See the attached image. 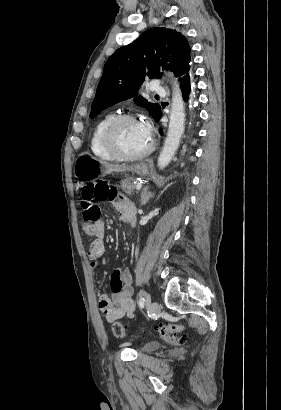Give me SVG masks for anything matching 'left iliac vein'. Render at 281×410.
Wrapping results in <instances>:
<instances>
[{
	"mask_svg": "<svg viewBox=\"0 0 281 410\" xmlns=\"http://www.w3.org/2000/svg\"><path fill=\"white\" fill-rule=\"evenodd\" d=\"M147 306L150 314H156L160 310V305L155 301H150V297L147 295Z\"/></svg>",
	"mask_w": 281,
	"mask_h": 410,
	"instance_id": "obj_1",
	"label": "left iliac vein"
}]
</instances>
